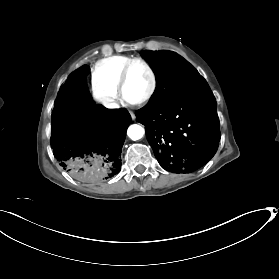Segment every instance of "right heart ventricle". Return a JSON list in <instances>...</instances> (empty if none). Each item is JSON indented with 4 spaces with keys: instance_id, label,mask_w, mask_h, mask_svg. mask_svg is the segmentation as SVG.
Segmentation results:
<instances>
[{
    "instance_id": "obj_1",
    "label": "right heart ventricle",
    "mask_w": 279,
    "mask_h": 279,
    "mask_svg": "<svg viewBox=\"0 0 279 279\" xmlns=\"http://www.w3.org/2000/svg\"><path fill=\"white\" fill-rule=\"evenodd\" d=\"M133 59L129 56L115 55L97 61L91 68L92 84H99L114 95H118V77L124 65Z\"/></svg>"
}]
</instances>
